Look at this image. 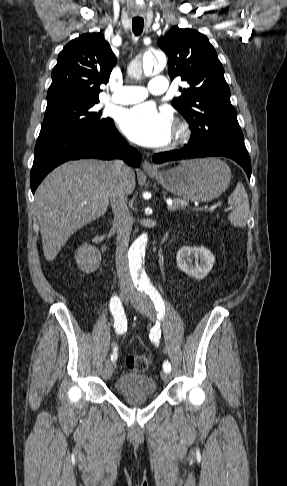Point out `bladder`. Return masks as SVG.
<instances>
[{
    "mask_svg": "<svg viewBox=\"0 0 287 486\" xmlns=\"http://www.w3.org/2000/svg\"><path fill=\"white\" fill-rule=\"evenodd\" d=\"M115 390L128 396H152L156 393L157 384L153 377L147 374L125 373L114 383Z\"/></svg>",
    "mask_w": 287,
    "mask_h": 486,
    "instance_id": "31cf9c89",
    "label": "bladder"
}]
</instances>
